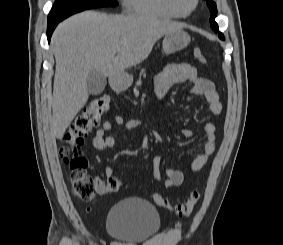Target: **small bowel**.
<instances>
[{"instance_id":"small-bowel-1","label":"small bowel","mask_w":283,"mask_h":245,"mask_svg":"<svg viewBox=\"0 0 283 245\" xmlns=\"http://www.w3.org/2000/svg\"><path fill=\"white\" fill-rule=\"evenodd\" d=\"M189 82L192 85L191 93L203 97L208 103L209 111L218 115L222 111V105L213 83L206 78L200 77L194 66L188 63H170L167 64L155 77L154 88L159 100H163L169 89L178 83ZM115 126H124L127 130H135L143 127L144 122L140 119L124 120L121 116H114L106 120L97 130L92 140V146L97 150L112 148L116 140L113 136L107 135ZM185 137H192L193 133L188 129H183ZM206 136L202 153L196 155L190 162L189 172L196 173L200 171L215 152L216 148V129L213 123L207 122L204 125ZM107 179L114 176V170L106 167L104 170ZM153 177L155 180L163 182L167 188L180 186L184 182L185 174L177 169L167 168L165 177L160 170V157H153ZM96 190L99 195L106 193V182L96 178Z\"/></svg>"}]
</instances>
